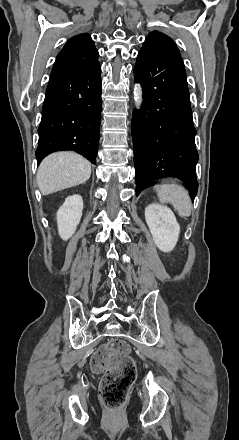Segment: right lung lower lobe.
Listing matches in <instances>:
<instances>
[{
	"instance_id": "1",
	"label": "right lung lower lobe",
	"mask_w": 239,
	"mask_h": 440,
	"mask_svg": "<svg viewBox=\"0 0 239 440\" xmlns=\"http://www.w3.org/2000/svg\"><path fill=\"white\" fill-rule=\"evenodd\" d=\"M101 67L86 71L53 70L38 128V164L55 151H75L93 164L101 121Z\"/></svg>"
}]
</instances>
